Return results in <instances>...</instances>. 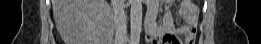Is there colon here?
<instances>
[{
	"mask_svg": "<svg viewBox=\"0 0 261 44\" xmlns=\"http://www.w3.org/2000/svg\"><path fill=\"white\" fill-rule=\"evenodd\" d=\"M193 2L192 1H181V6H192Z\"/></svg>",
	"mask_w": 261,
	"mask_h": 44,
	"instance_id": "5ec220e1",
	"label": "colon"
}]
</instances>
